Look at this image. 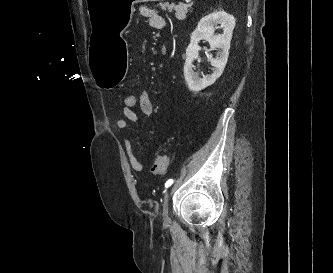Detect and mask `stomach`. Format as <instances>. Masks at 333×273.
I'll return each instance as SVG.
<instances>
[{"mask_svg": "<svg viewBox=\"0 0 333 273\" xmlns=\"http://www.w3.org/2000/svg\"><path fill=\"white\" fill-rule=\"evenodd\" d=\"M162 0H87L92 23L88 39V56H92L91 71L96 84L112 89L124 81L125 70H129L128 46L124 44L122 32H127L133 19L134 4Z\"/></svg>", "mask_w": 333, "mask_h": 273, "instance_id": "1", "label": "stomach"}]
</instances>
